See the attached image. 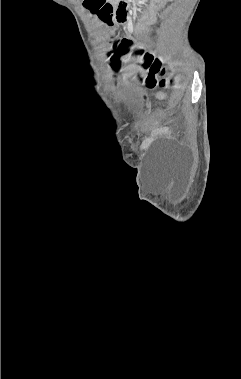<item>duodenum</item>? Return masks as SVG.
Here are the masks:
<instances>
[{"label": "duodenum", "instance_id": "duodenum-1", "mask_svg": "<svg viewBox=\"0 0 241 379\" xmlns=\"http://www.w3.org/2000/svg\"><path fill=\"white\" fill-rule=\"evenodd\" d=\"M129 0H120L114 6L109 4L112 8V14L116 20L122 21L127 18L129 11Z\"/></svg>", "mask_w": 241, "mask_h": 379}]
</instances>
